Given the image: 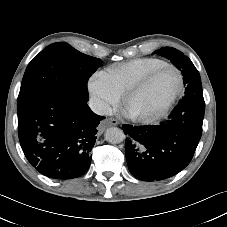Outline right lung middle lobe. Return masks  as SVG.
Returning a JSON list of instances; mask_svg holds the SVG:
<instances>
[{
  "instance_id": "1",
  "label": "right lung middle lobe",
  "mask_w": 227,
  "mask_h": 227,
  "mask_svg": "<svg viewBox=\"0 0 227 227\" xmlns=\"http://www.w3.org/2000/svg\"><path fill=\"white\" fill-rule=\"evenodd\" d=\"M102 61L64 42L53 43L29 63L17 107L46 94H63L88 101L87 81Z\"/></svg>"
}]
</instances>
